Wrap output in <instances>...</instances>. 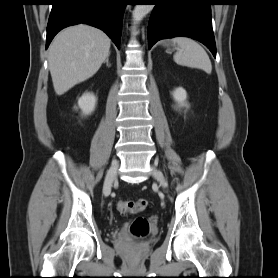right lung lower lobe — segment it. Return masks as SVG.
<instances>
[{"label":"right lung lower lobe","instance_id":"1","mask_svg":"<svg viewBox=\"0 0 278 278\" xmlns=\"http://www.w3.org/2000/svg\"><path fill=\"white\" fill-rule=\"evenodd\" d=\"M127 0H52L46 49L63 28L89 24L103 30L120 49L122 19Z\"/></svg>","mask_w":278,"mask_h":278}]
</instances>
